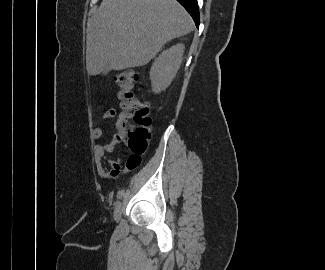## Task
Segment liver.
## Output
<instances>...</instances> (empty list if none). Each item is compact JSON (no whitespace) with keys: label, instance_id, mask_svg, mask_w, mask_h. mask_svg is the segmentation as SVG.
Wrapping results in <instances>:
<instances>
[{"label":"liver","instance_id":"6515ba94","mask_svg":"<svg viewBox=\"0 0 325 270\" xmlns=\"http://www.w3.org/2000/svg\"><path fill=\"white\" fill-rule=\"evenodd\" d=\"M193 27L176 0H102L87 23V72L146 65L168 41Z\"/></svg>","mask_w":325,"mask_h":270}]
</instances>
